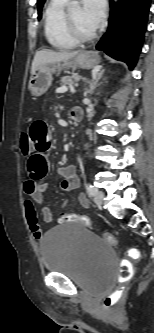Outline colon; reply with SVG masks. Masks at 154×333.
<instances>
[{
    "mask_svg": "<svg viewBox=\"0 0 154 333\" xmlns=\"http://www.w3.org/2000/svg\"><path fill=\"white\" fill-rule=\"evenodd\" d=\"M20 150L24 155H28L32 149V145L30 142V137L29 134L24 132L20 136ZM62 222H76V223H81L86 227L91 226V221L87 216L83 215H77V214H65L61 218ZM103 239L106 240L110 245L116 246L117 245V240L116 238L110 234V233H104L102 235ZM130 256L132 259L137 260L138 259V252L136 250H132L130 252ZM133 276V266L131 262L129 261H124L122 262L120 269H119V277L123 281H127L131 279ZM120 300V296L118 293L111 294L107 296L104 299V306L106 308H110L118 304Z\"/></svg>",
    "mask_w": 154,
    "mask_h": 333,
    "instance_id": "colon-1",
    "label": "colon"
}]
</instances>
